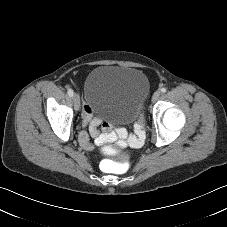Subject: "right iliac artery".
Here are the masks:
<instances>
[{
    "label": "right iliac artery",
    "mask_w": 227,
    "mask_h": 227,
    "mask_svg": "<svg viewBox=\"0 0 227 227\" xmlns=\"http://www.w3.org/2000/svg\"><path fill=\"white\" fill-rule=\"evenodd\" d=\"M73 90L72 89H68V95L70 96V97H73Z\"/></svg>",
    "instance_id": "right-iliac-artery-1"
}]
</instances>
